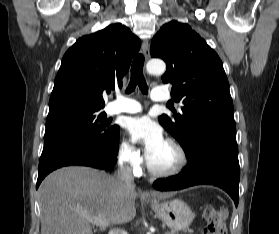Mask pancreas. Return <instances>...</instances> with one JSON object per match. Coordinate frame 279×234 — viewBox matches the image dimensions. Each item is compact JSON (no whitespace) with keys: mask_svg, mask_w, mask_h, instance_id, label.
Returning a JSON list of instances; mask_svg holds the SVG:
<instances>
[{"mask_svg":"<svg viewBox=\"0 0 279 234\" xmlns=\"http://www.w3.org/2000/svg\"><path fill=\"white\" fill-rule=\"evenodd\" d=\"M166 234H174V232H171V233H166Z\"/></svg>","mask_w":279,"mask_h":234,"instance_id":"obj_1","label":"pancreas"}]
</instances>
